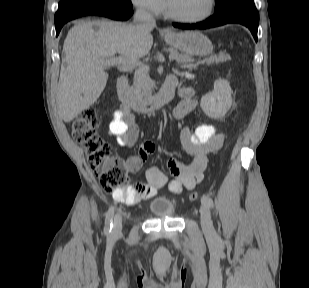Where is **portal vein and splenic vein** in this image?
Listing matches in <instances>:
<instances>
[{
  "label": "portal vein and splenic vein",
  "instance_id": "18ae733b",
  "mask_svg": "<svg viewBox=\"0 0 309 288\" xmlns=\"http://www.w3.org/2000/svg\"><path fill=\"white\" fill-rule=\"evenodd\" d=\"M104 66H116V65H125V64H129V65H136L139 66L140 68H146L148 69L147 66L143 65L140 61L138 60H127L124 57H110L106 60L103 61ZM197 64H191L189 67H195Z\"/></svg>",
  "mask_w": 309,
  "mask_h": 288
}]
</instances>
